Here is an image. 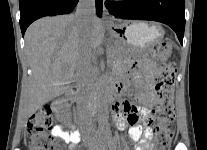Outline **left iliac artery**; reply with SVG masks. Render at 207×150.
Segmentation results:
<instances>
[{"label":"left iliac artery","instance_id":"left-iliac-artery-1","mask_svg":"<svg viewBox=\"0 0 207 150\" xmlns=\"http://www.w3.org/2000/svg\"><path fill=\"white\" fill-rule=\"evenodd\" d=\"M106 138H107L108 142H111L112 137H111V133L109 130H106Z\"/></svg>","mask_w":207,"mask_h":150}]
</instances>
